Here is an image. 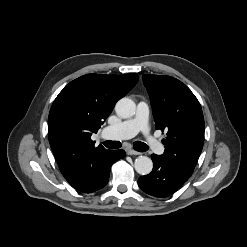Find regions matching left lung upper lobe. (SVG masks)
<instances>
[{
  "mask_svg": "<svg viewBox=\"0 0 247 247\" xmlns=\"http://www.w3.org/2000/svg\"><path fill=\"white\" fill-rule=\"evenodd\" d=\"M156 129L167 132L165 158L192 173L204 143V118L199 101L181 81L160 75H143Z\"/></svg>",
  "mask_w": 247,
  "mask_h": 247,
  "instance_id": "1",
  "label": "left lung upper lobe"
}]
</instances>
